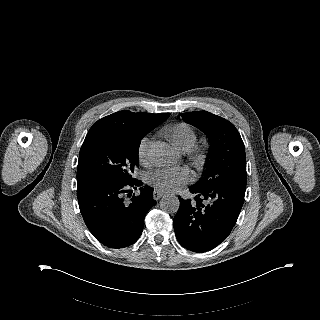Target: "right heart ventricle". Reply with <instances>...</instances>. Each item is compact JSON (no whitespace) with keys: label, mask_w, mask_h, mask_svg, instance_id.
Here are the masks:
<instances>
[{"label":"right heart ventricle","mask_w":320,"mask_h":320,"mask_svg":"<svg viewBox=\"0 0 320 320\" xmlns=\"http://www.w3.org/2000/svg\"><path fill=\"white\" fill-rule=\"evenodd\" d=\"M172 143L180 151H189L197 142V133L184 122L175 123L165 129Z\"/></svg>","instance_id":"1"}]
</instances>
